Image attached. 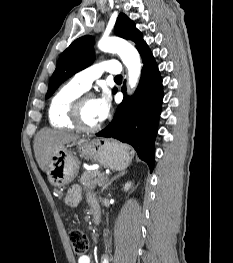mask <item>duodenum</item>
<instances>
[{
  "mask_svg": "<svg viewBox=\"0 0 233 263\" xmlns=\"http://www.w3.org/2000/svg\"><path fill=\"white\" fill-rule=\"evenodd\" d=\"M92 211L94 214V218L96 220V222L100 221V210H99V206L97 204H94L92 207Z\"/></svg>",
  "mask_w": 233,
  "mask_h": 263,
  "instance_id": "obj_1",
  "label": "duodenum"
}]
</instances>
